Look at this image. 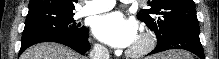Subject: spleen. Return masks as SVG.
<instances>
[{
	"instance_id": "3e777b00",
	"label": "spleen",
	"mask_w": 219,
	"mask_h": 59,
	"mask_svg": "<svg viewBox=\"0 0 219 59\" xmlns=\"http://www.w3.org/2000/svg\"><path fill=\"white\" fill-rule=\"evenodd\" d=\"M171 59H191L189 54L186 52H179L175 54Z\"/></svg>"
}]
</instances>
